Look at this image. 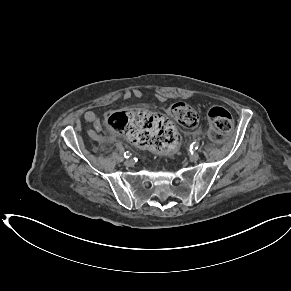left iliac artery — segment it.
Here are the masks:
<instances>
[{
  "label": "left iliac artery",
  "instance_id": "obj_1",
  "mask_svg": "<svg viewBox=\"0 0 291 291\" xmlns=\"http://www.w3.org/2000/svg\"><path fill=\"white\" fill-rule=\"evenodd\" d=\"M198 146H199V143H198V142H193V143L190 145V149H198Z\"/></svg>",
  "mask_w": 291,
  "mask_h": 291
}]
</instances>
